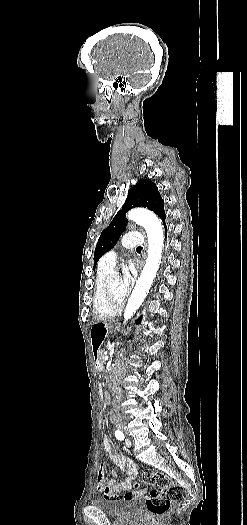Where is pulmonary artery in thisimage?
<instances>
[{
    "mask_svg": "<svg viewBox=\"0 0 247 525\" xmlns=\"http://www.w3.org/2000/svg\"><path fill=\"white\" fill-rule=\"evenodd\" d=\"M120 243L123 248H136L144 243L143 236H134L133 231L127 232L120 238ZM116 259V251L114 249L106 253L105 264L109 265Z\"/></svg>",
    "mask_w": 247,
    "mask_h": 525,
    "instance_id": "e3ab8cb5",
    "label": "pulmonary artery"
}]
</instances>
